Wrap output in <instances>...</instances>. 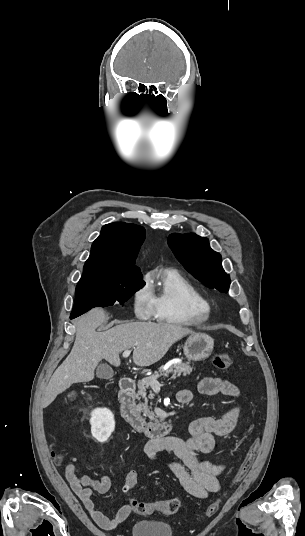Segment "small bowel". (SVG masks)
I'll return each mask as SVG.
<instances>
[{
    "label": "small bowel",
    "instance_id": "small-bowel-1",
    "mask_svg": "<svg viewBox=\"0 0 305 536\" xmlns=\"http://www.w3.org/2000/svg\"><path fill=\"white\" fill-rule=\"evenodd\" d=\"M198 392L204 395L223 394L232 398L239 396V390L228 380L219 377L203 378L198 385ZM194 392L182 390L177 399L181 403L192 401ZM239 407H231L222 417H200L193 420L188 431L190 437L182 439L169 436L149 441L144 452L150 459H155L162 451L173 453L180 461H169V470L178 479L181 487L191 496L198 499H206L210 493L220 490L219 476L224 470V465L216 464L203 459L199 453H218L215 435H225L235 427L239 416ZM65 478L72 491L81 500L94 522L104 530H112L124 522L132 513L130 503L122 505L114 518H109L97 507L93 498L94 492L106 494L112 486L110 476L103 475L95 479L87 475L80 476L74 463H69L65 468ZM128 492L129 490H125Z\"/></svg>",
    "mask_w": 305,
    "mask_h": 536
}]
</instances>
